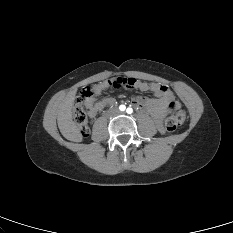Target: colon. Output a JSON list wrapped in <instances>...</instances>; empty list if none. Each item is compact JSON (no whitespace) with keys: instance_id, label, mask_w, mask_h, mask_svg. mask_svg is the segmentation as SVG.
<instances>
[{"instance_id":"colon-1","label":"colon","mask_w":233,"mask_h":233,"mask_svg":"<svg viewBox=\"0 0 233 233\" xmlns=\"http://www.w3.org/2000/svg\"><path fill=\"white\" fill-rule=\"evenodd\" d=\"M135 83L136 79L134 78L117 77L111 80H107L106 87H113L116 89L133 88ZM98 94H100V92L86 87L81 91L80 95L76 98L74 103L73 118L78 125L80 134L84 137L89 133L87 112L89 110L91 101ZM170 107L171 113L165 120L164 128L168 132H173L185 122L187 113L182 109H174L173 104H171Z\"/></svg>"}]
</instances>
